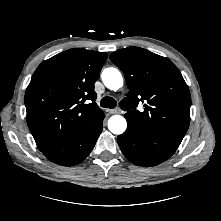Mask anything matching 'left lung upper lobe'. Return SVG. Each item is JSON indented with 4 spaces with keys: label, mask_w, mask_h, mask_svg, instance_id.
Returning <instances> with one entry per match:
<instances>
[{
    "label": "left lung upper lobe",
    "mask_w": 221,
    "mask_h": 221,
    "mask_svg": "<svg viewBox=\"0 0 221 221\" xmlns=\"http://www.w3.org/2000/svg\"><path fill=\"white\" fill-rule=\"evenodd\" d=\"M124 73L129 96L120 102L127 122L147 139L177 149L190 123L191 96L177 67L167 58L139 47L110 55ZM146 101L144 111L136 110Z\"/></svg>",
    "instance_id": "obj_1"
}]
</instances>
